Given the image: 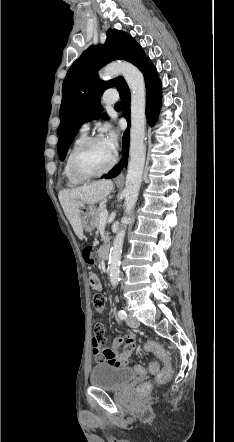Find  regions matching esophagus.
<instances>
[{"mask_svg": "<svg viewBox=\"0 0 234 442\" xmlns=\"http://www.w3.org/2000/svg\"><path fill=\"white\" fill-rule=\"evenodd\" d=\"M124 180V174L123 172H121L120 174H118L115 178V182H122Z\"/></svg>", "mask_w": 234, "mask_h": 442, "instance_id": "esophagus-1", "label": "esophagus"}]
</instances>
